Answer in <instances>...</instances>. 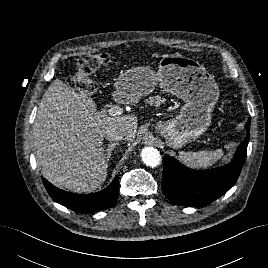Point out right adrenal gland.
Here are the masks:
<instances>
[{
  "label": "right adrenal gland",
  "mask_w": 268,
  "mask_h": 268,
  "mask_svg": "<svg viewBox=\"0 0 268 268\" xmlns=\"http://www.w3.org/2000/svg\"><path fill=\"white\" fill-rule=\"evenodd\" d=\"M118 144H119L118 142L110 143V144H108V147L104 150V156L106 158L107 163L110 161L114 147L117 146Z\"/></svg>",
  "instance_id": "obj_1"
}]
</instances>
